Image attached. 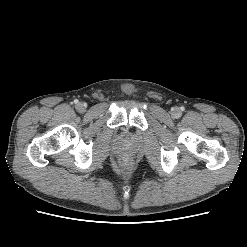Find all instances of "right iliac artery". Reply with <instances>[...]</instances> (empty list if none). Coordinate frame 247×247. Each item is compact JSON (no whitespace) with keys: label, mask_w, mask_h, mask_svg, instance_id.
I'll list each match as a JSON object with an SVG mask.
<instances>
[{"label":"right iliac artery","mask_w":247,"mask_h":247,"mask_svg":"<svg viewBox=\"0 0 247 247\" xmlns=\"http://www.w3.org/2000/svg\"><path fill=\"white\" fill-rule=\"evenodd\" d=\"M74 103H78V100H75Z\"/></svg>","instance_id":"obj_1"}]
</instances>
